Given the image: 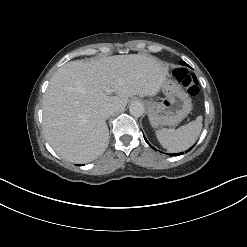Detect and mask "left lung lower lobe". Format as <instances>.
I'll use <instances>...</instances> for the list:
<instances>
[{
    "label": "left lung lower lobe",
    "mask_w": 247,
    "mask_h": 247,
    "mask_svg": "<svg viewBox=\"0 0 247 247\" xmlns=\"http://www.w3.org/2000/svg\"><path fill=\"white\" fill-rule=\"evenodd\" d=\"M144 139H145V141L148 143V141L146 140L145 137H144ZM148 144H149V143H148ZM150 146H151V145H150ZM191 148H192V147H191ZM191 148H190V149H191ZM190 149H189V150H190ZM189 150H188V151H189ZM186 152H187V151H186ZM181 154H183V152L177 153V154H169V155H170V156H178V155H181Z\"/></svg>",
    "instance_id": "left-lung-lower-lobe-1"
}]
</instances>
